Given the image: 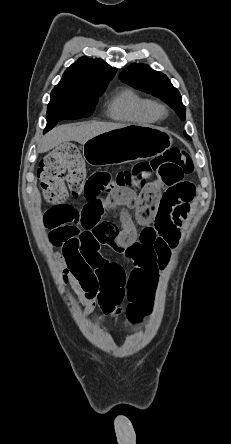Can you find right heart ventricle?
<instances>
[{
    "label": "right heart ventricle",
    "instance_id": "1",
    "mask_svg": "<svg viewBox=\"0 0 231 444\" xmlns=\"http://www.w3.org/2000/svg\"><path fill=\"white\" fill-rule=\"evenodd\" d=\"M155 102L134 89L125 88L110 100L109 116L118 121L135 123H154L158 115L154 111Z\"/></svg>",
    "mask_w": 231,
    "mask_h": 444
}]
</instances>
